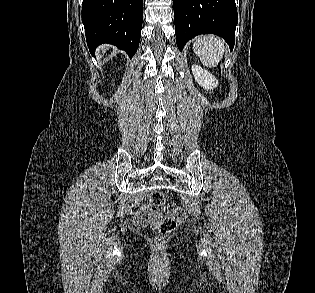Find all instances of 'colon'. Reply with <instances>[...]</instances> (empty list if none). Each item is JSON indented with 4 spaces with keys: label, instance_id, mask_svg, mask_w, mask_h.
Listing matches in <instances>:
<instances>
[{
    "label": "colon",
    "instance_id": "1",
    "mask_svg": "<svg viewBox=\"0 0 315 293\" xmlns=\"http://www.w3.org/2000/svg\"><path fill=\"white\" fill-rule=\"evenodd\" d=\"M149 202L151 205L161 206L165 202V197L161 192H152L149 195ZM169 211L172 214V217H162L156 223L159 231L157 240H162L173 232L177 226V222L184 218V212L174 205L169 206Z\"/></svg>",
    "mask_w": 315,
    "mask_h": 293
}]
</instances>
